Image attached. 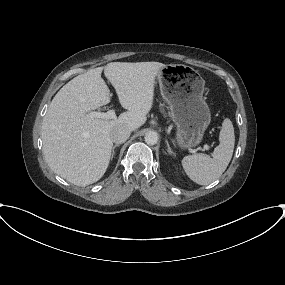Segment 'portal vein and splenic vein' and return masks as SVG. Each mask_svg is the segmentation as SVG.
Segmentation results:
<instances>
[{"mask_svg": "<svg viewBox=\"0 0 285 285\" xmlns=\"http://www.w3.org/2000/svg\"><path fill=\"white\" fill-rule=\"evenodd\" d=\"M88 117L90 118H100V119H115L116 118V113L114 109H111L109 111H107L106 113L104 112H90L88 114ZM206 150H209V147L206 145L205 146Z\"/></svg>", "mask_w": 285, "mask_h": 285, "instance_id": "obj_1", "label": "portal vein and splenic vein"}]
</instances>
